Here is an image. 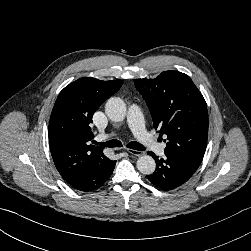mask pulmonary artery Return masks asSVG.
I'll return each instance as SVG.
<instances>
[{
  "label": "pulmonary artery",
  "instance_id": "1",
  "mask_svg": "<svg viewBox=\"0 0 251 251\" xmlns=\"http://www.w3.org/2000/svg\"><path fill=\"white\" fill-rule=\"evenodd\" d=\"M126 122L130 126L134 136L148 149L157 155H164L166 145L159 143L144 126L143 114L137 104H132L127 113Z\"/></svg>",
  "mask_w": 251,
  "mask_h": 251
}]
</instances>
